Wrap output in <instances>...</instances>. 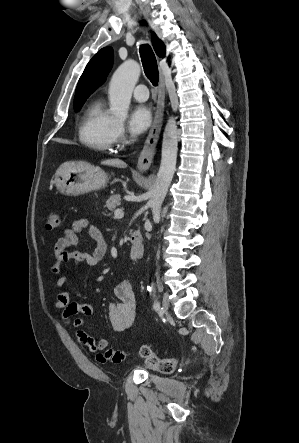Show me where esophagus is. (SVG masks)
<instances>
[{
    "label": "esophagus",
    "instance_id": "obj_1",
    "mask_svg": "<svg viewBox=\"0 0 299 443\" xmlns=\"http://www.w3.org/2000/svg\"><path fill=\"white\" fill-rule=\"evenodd\" d=\"M164 100L165 81L164 76L161 74L158 89L157 108L153 117L152 126L137 162V169L141 172L147 171L153 161V156L155 154L162 127Z\"/></svg>",
    "mask_w": 299,
    "mask_h": 443
}]
</instances>
